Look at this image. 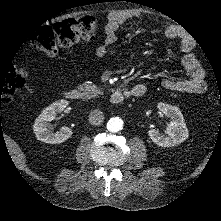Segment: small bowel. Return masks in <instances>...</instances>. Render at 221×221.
<instances>
[{
    "label": "small bowel",
    "instance_id": "obj_1",
    "mask_svg": "<svg viewBox=\"0 0 221 221\" xmlns=\"http://www.w3.org/2000/svg\"><path fill=\"white\" fill-rule=\"evenodd\" d=\"M140 16L139 12L124 10L120 12H112L108 15V22L105 26V36L101 44L96 47L95 53L98 57L115 55V51L111 46L117 41V33L120 26L131 18ZM167 37L174 39L177 32L173 28L166 30ZM193 43L189 38L180 41V49L183 53L182 65L190 76L188 79H165L162 86L170 91L185 92L191 94H203L206 91V83L204 81V70L191 53Z\"/></svg>",
    "mask_w": 221,
    "mask_h": 221
}]
</instances>
